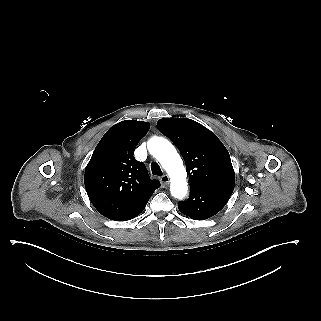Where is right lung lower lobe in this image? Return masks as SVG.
<instances>
[{
	"label": "right lung lower lobe",
	"instance_id": "98d812e1",
	"mask_svg": "<svg viewBox=\"0 0 321 321\" xmlns=\"http://www.w3.org/2000/svg\"><path fill=\"white\" fill-rule=\"evenodd\" d=\"M146 204H147V202L145 204H143L142 206H140L139 208H137L136 210L132 211L131 213H129L121 218H118L115 221H127V220L135 218L144 210Z\"/></svg>",
	"mask_w": 321,
	"mask_h": 321
}]
</instances>
